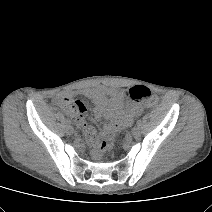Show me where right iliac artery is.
I'll use <instances>...</instances> for the list:
<instances>
[{
  "label": "right iliac artery",
  "instance_id": "right-iliac-artery-1",
  "mask_svg": "<svg viewBox=\"0 0 212 212\" xmlns=\"http://www.w3.org/2000/svg\"><path fill=\"white\" fill-rule=\"evenodd\" d=\"M66 123H67V124H71V121H70V120H67Z\"/></svg>",
  "mask_w": 212,
  "mask_h": 212
}]
</instances>
